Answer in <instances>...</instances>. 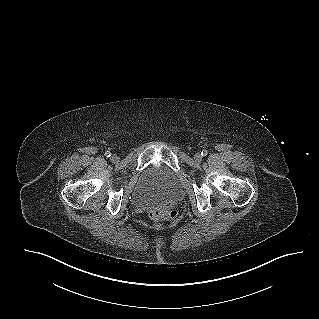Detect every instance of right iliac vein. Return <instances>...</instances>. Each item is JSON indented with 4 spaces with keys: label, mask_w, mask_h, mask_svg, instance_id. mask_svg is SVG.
Returning <instances> with one entry per match:
<instances>
[{
    "label": "right iliac vein",
    "mask_w": 319,
    "mask_h": 319,
    "mask_svg": "<svg viewBox=\"0 0 319 319\" xmlns=\"http://www.w3.org/2000/svg\"><path fill=\"white\" fill-rule=\"evenodd\" d=\"M119 159H120V158H119V156H118L117 154H113V155L111 156V161L114 162V163L118 162Z\"/></svg>",
    "instance_id": "1"
}]
</instances>
